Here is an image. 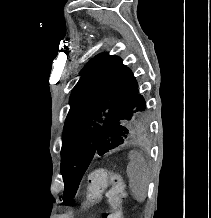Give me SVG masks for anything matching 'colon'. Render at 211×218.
I'll list each match as a JSON object with an SVG mask.
<instances>
[{
	"instance_id": "colon-1",
	"label": "colon",
	"mask_w": 211,
	"mask_h": 218,
	"mask_svg": "<svg viewBox=\"0 0 211 218\" xmlns=\"http://www.w3.org/2000/svg\"><path fill=\"white\" fill-rule=\"evenodd\" d=\"M106 193L110 210L102 218H123L122 201L126 195L120 174L106 169H97L89 173L86 191L87 204L97 203Z\"/></svg>"
}]
</instances>
